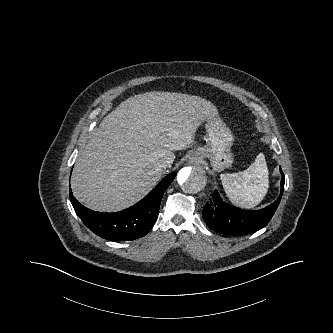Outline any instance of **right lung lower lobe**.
Instances as JSON below:
<instances>
[{"mask_svg": "<svg viewBox=\"0 0 333 333\" xmlns=\"http://www.w3.org/2000/svg\"><path fill=\"white\" fill-rule=\"evenodd\" d=\"M175 176V172L169 174L145 198L120 212L90 210L75 199L71 189L70 201L83 223L96 235L111 241L134 240L146 235L155 224L162 196Z\"/></svg>", "mask_w": 333, "mask_h": 333, "instance_id": "98d812e1", "label": "right lung lower lobe"}]
</instances>
